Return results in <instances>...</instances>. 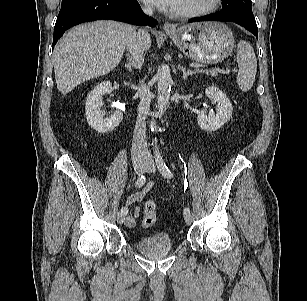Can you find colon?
<instances>
[{"instance_id": "colon-1", "label": "colon", "mask_w": 307, "mask_h": 301, "mask_svg": "<svg viewBox=\"0 0 307 301\" xmlns=\"http://www.w3.org/2000/svg\"><path fill=\"white\" fill-rule=\"evenodd\" d=\"M156 220V204L154 201L149 200L144 206V215L142 225L144 227H150L155 223Z\"/></svg>"}]
</instances>
